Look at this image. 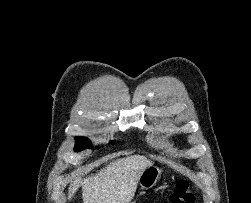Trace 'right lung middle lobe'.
<instances>
[{
	"label": "right lung middle lobe",
	"mask_w": 251,
	"mask_h": 203,
	"mask_svg": "<svg viewBox=\"0 0 251 203\" xmlns=\"http://www.w3.org/2000/svg\"><path fill=\"white\" fill-rule=\"evenodd\" d=\"M114 141H111V143H113ZM90 145V141L85 138V137H76L75 138V147H74V151H81L84 150L86 148H89Z\"/></svg>",
	"instance_id": "1"
}]
</instances>
